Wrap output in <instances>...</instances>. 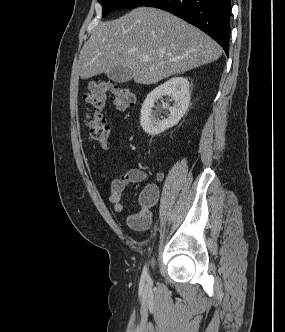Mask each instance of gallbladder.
<instances>
[{
    "label": "gallbladder",
    "instance_id": "gallbladder-1",
    "mask_svg": "<svg viewBox=\"0 0 285 332\" xmlns=\"http://www.w3.org/2000/svg\"><path fill=\"white\" fill-rule=\"evenodd\" d=\"M108 79L116 83H125L132 80V71L125 67H116L107 73Z\"/></svg>",
    "mask_w": 285,
    "mask_h": 332
}]
</instances>
